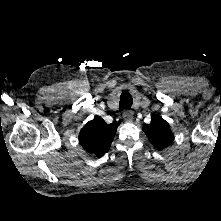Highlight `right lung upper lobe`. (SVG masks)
I'll return each instance as SVG.
<instances>
[{
  "mask_svg": "<svg viewBox=\"0 0 221 221\" xmlns=\"http://www.w3.org/2000/svg\"><path fill=\"white\" fill-rule=\"evenodd\" d=\"M119 124L120 122L107 124L101 117H95L79 134L81 146L89 153L101 157L109 150Z\"/></svg>",
  "mask_w": 221,
  "mask_h": 221,
  "instance_id": "obj_1",
  "label": "right lung upper lobe"
}]
</instances>
